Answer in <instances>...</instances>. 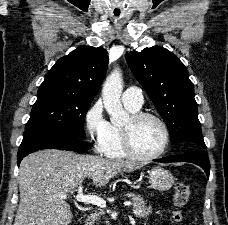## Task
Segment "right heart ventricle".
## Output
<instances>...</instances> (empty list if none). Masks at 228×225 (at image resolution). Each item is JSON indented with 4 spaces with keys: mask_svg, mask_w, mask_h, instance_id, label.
<instances>
[{
    "mask_svg": "<svg viewBox=\"0 0 228 225\" xmlns=\"http://www.w3.org/2000/svg\"><path fill=\"white\" fill-rule=\"evenodd\" d=\"M125 108L132 114L139 112L140 109H134L129 106ZM99 152L109 158H127L131 155L127 152L123 141V126L111 123L107 138L100 144Z\"/></svg>",
    "mask_w": 228,
    "mask_h": 225,
    "instance_id": "e07e8e85",
    "label": "right heart ventricle"
}]
</instances>
